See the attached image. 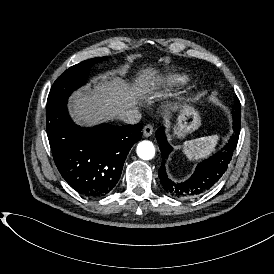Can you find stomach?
Returning <instances> with one entry per match:
<instances>
[{
	"instance_id": "obj_1",
	"label": "stomach",
	"mask_w": 274,
	"mask_h": 274,
	"mask_svg": "<svg viewBox=\"0 0 274 274\" xmlns=\"http://www.w3.org/2000/svg\"><path fill=\"white\" fill-rule=\"evenodd\" d=\"M199 122L200 120L198 114L194 111L187 110L179 117V127L176 133L182 136L185 132H189L196 129V127L199 125Z\"/></svg>"
}]
</instances>
